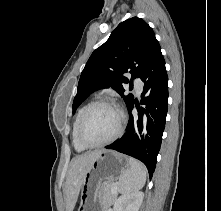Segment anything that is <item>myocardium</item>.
Segmentation results:
<instances>
[{
    "label": "myocardium",
    "mask_w": 221,
    "mask_h": 211,
    "mask_svg": "<svg viewBox=\"0 0 221 211\" xmlns=\"http://www.w3.org/2000/svg\"><path fill=\"white\" fill-rule=\"evenodd\" d=\"M102 105L109 106V107H111V108H113V109H115L117 111V113L119 115L118 128H117L116 132L111 137H109L108 139H106L104 141H101V142H97V143H91V142H88L84 138V135H83L84 123H85V120H86L88 114L94 108H96L97 106H102ZM125 122H126V118H125L124 112L113 101H111L109 99H98V100H95V101H93L92 103H90L86 107V109L83 111V113H82V115L80 117L79 125H78V138H79V141L84 146H86L87 148H94V147H101V146L108 145V144L114 142L115 140H117L121 136V134L123 133V130H124Z\"/></svg>",
    "instance_id": "1"
}]
</instances>
